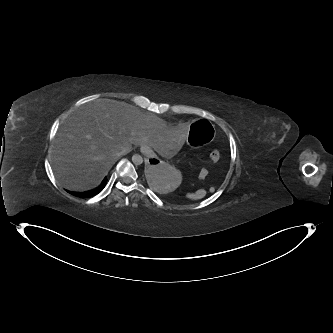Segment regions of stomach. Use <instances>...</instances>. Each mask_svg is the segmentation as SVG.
<instances>
[{
    "mask_svg": "<svg viewBox=\"0 0 333 333\" xmlns=\"http://www.w3.org/2000/svg\"><path fill=\"white\" fill-rule=\"evenodd\" d=\"M214 126L206 119H199L191 125V131L186 143L192 148L211 143L216 136ZM147 145L141 144V150L146 153L150 162L145 170L147 185L158 193H167L178 187L181 181V172L175 167L159 162L152 153L147 152Z\"/></svg>",
    "mask_w": 333,
    "mask_h": 333,
    "instance_id": "0dacf381",
    "label": "stomach"
}]
</instances>
